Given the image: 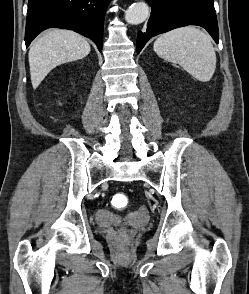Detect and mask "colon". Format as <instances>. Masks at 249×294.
I'll list each match as a JSON object with an SVG mask.
<instances>
[{"label":"colon","instance_id":"colon-1","mask_svg":"<svg viewBox=\"0 0 249 294\" xmlns=\"http://www.w3.org/2000/svg\"><path fill=\"white\" fill-rule=\"evenodd\" d=\"M113 202L117 206H127L129 204V198L125 194H117L113 197ZM127 233V229L123 227L121 229V236L125 237Z\"/></svg>","mask_w":249,"mask_h":294}]
</instances>
